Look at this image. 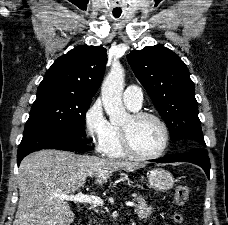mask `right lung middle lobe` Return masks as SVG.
I'll return each mask as SVG.
<instances>
[{"label":"right lung middle lobe","mask_w":228,"mask_h":225,"mask_svg":"<svg viewBox=\"0 0 228 225\" xmlns=\"http://www.w3.org/2000/svg\"><path fill=\"white\" fill-rule=\"evenodd\" d=\"M92 97L61 87H38L25 130L50 127L85 137L84 119Z\"/></svg>","instance_id":"obj_1"}]
</instances>
